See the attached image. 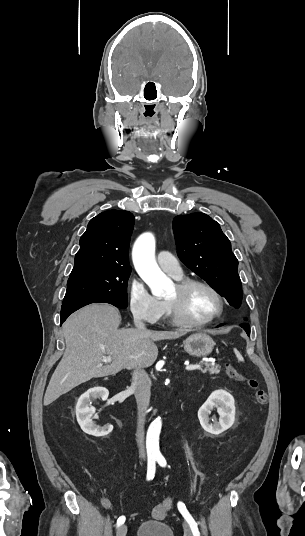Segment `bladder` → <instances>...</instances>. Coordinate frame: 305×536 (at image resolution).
Here are the masks:
<instances>
[{
	"label": "bladder",
	"mask_w": 305,
	"mask_h": 536,
	"mask_svg": "<svg viewBox=\"0 0 305 536\" xmlns=\"http://www.w3.org/2000/svg\"><path fill=\"white\" fill-rule=\"evenodd\" d=\"M135 536H175L168 522L152 519L141 522L136 527Z\"/></svg>",
	"instance_id": "bladder-1"
}]
</instances>
